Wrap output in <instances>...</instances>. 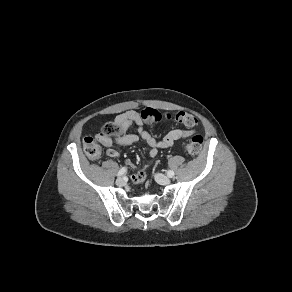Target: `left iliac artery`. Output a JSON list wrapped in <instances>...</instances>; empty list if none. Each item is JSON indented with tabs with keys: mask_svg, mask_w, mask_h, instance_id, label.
<instances>
[{
	"mask_svg": "<svg viewBox=\"0 0 292 292\" xmlns=\"http://www.w3.org/2000/svg\"><path fill=\"white\" fill-rule=\"evenodd\" d=\"M167 175H168V177L172 178V177L174 176V171L169 170V171L167 172Z\"/></svg>",
	"mask_w": 292,
	"mask_h": 292,
	"instance_id": "obj_1",
	"label": "left iliac artery"
}]
</instances>
